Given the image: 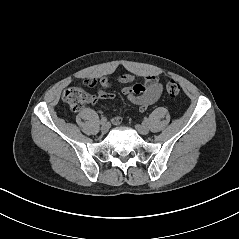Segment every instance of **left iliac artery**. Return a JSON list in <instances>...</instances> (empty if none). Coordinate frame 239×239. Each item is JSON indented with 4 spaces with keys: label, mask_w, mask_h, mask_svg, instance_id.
<instances>
[{
    "label": "left iliac artery",
    "mask_w": 239,
    "mask_h": 239,
    "mask_svg": "<svg viewBox=\"0 0 239 239\" xmlns=\"http://www.w3.org/2000/svg\"><path fill=\"white\" fill-rule=\"evenodd\" d=\"M149 120L147 118L144 119V123L148 124Z\"/></svg>",
    "instance_id": "1"
}]
</instances>
